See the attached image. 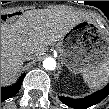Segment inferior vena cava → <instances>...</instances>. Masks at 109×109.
Segmentation results:
<instances>
[{"label": "inferior vena cava", "instance_id": "obj_1", "mask_svg": "<svg viewBox=\"0 0 109 109\" xmlns=\"http://www.w3.org/2000/svg\"><path fill=\"white\" fill-rule=\"evenodd\" d=\"M34 58V55L32 53L26 52L22 54V59L24 61H28Z\"/></svg>", "mask_w": 109, "mask_h": 109}]
</instances>
